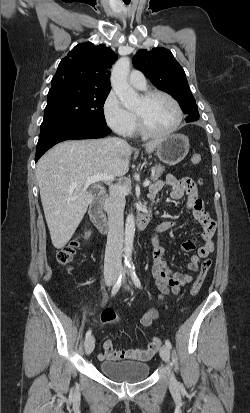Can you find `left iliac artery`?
Masks as SVG:
<instances>
[{"label":"left iliac artery","mask_w":250,"mask_h":413,"mask_svg":"<svg viewBox=\"0 0 250 413\" xmlns=\"http://www.w3.org/2000/svg\"><path fill=\"white\" fill-rule=\"evenodd\" d=\"M129 268H130V271H131V277H132V281H133L134 285L137 288H141V282H140V280H139V278H138V276L135 272L134 265H129ZM165 345L168 347V349H171V347H172L169 340L165 341Z\"/></svg>","instance_id":"1"}]
</instances>
